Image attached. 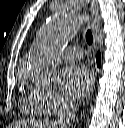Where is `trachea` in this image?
<instances>
[{
    "mask_svg": "<svg viewBox=\"0 0 125 128\" xmlns=\"http://www.w3.org/2000/svg\"><path fill=\"white\" fill-rule=\"evenodd\" d=\"M85 38H86V41L89 45L92 44L93 42V35H92V32L90 29L87 30L86 34H85Z\"/></svg>",
    "mask_w": 125,
    "mask_h": 128,
    "instance_id": "trachea-1",
    "label": "trachea"
}]
</instances>
